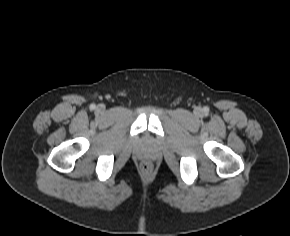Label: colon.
Returning <instances> with one entry per match:
<instances>
[{"label":"colon","mask_w":290,"mask_h":236,"mask_svg":"<svg viewBox=\"0 0 290 236\" xmlns=\"http://www.w3.org/2000/svg\"><path fill=\"white\" fill-rule=\"evenodd\" d=\"M142 168H143L145 171H148V170L150 169V164H149V163H143Z\"/></svg>","instance_id":"1"}]
</instances>
